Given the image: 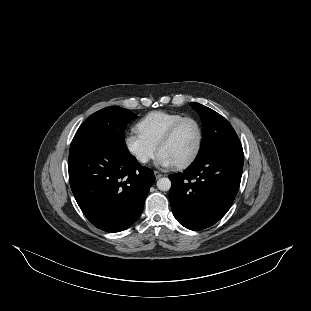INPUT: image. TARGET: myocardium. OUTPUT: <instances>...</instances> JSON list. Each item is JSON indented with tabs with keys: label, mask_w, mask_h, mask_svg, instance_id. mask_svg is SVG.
<instances>
[{
	"label": "myocardium",
	"mask_w": 311,
	"mask_h": 311,
	"mask_svg": "<svg viewBox=\"0 0 311 311\" xmlns=\"http://www.w3.org/2000/svg\"><path fill=\"white\" fill-rule=\"evenodd\" d=\"M195 120L199 126V131H200V138H199V143L196 149V152L194 153V155L187 161L180 163L178 165H176L178 168L184 169L187 167H190L191 165H193L201 156L203 148H204V144H205V139H206V131H205V126L202 122V120L195 115H186L182 118H180L170 129L169 131L162 137V139L160 140L158 146H157V151L158 153L161 152L162 148L165 147L166 145H168L169 143H171L174 138L176 137L179 129L181 128V126L187 121V120Z\"/></svg>",
	"instance_id": "f54148a6"
}]
</instances>
